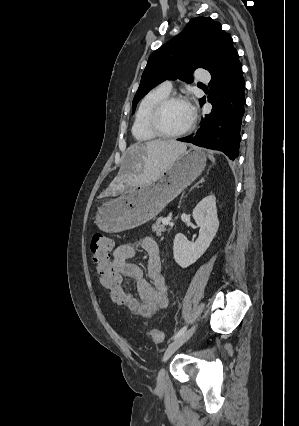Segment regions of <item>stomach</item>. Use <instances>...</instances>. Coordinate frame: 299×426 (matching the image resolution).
I'll return each instance as SVG.
<instances>
[{"mask_svg": "<svg viewBox=\"0 0 299 426\" xmlns=\"http://www.w3.org/2000/svg\"><path fill=\"white\" fill-rule=\"evenodd\" d=\"M206 156L190 148L178 156L156 180L126 190L98 208L95 223L104 232H121L155 218L204 170Z\"/></svg>", "mask_w": 299, "mask_h": 426, "instance_id": "1", "label": "stomach"}]
</instances>
